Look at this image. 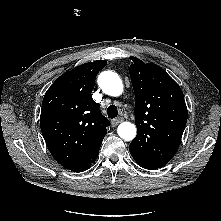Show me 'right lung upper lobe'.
I'll return each mask as SVG.
<instances>
[{
	"label": "right lung upper lobe",
	"instance_id": "obj_1",
	"mask_svg": "<svg viewBox=\"0 0 221 221\" xmlns=\"http://www.w3.org/2000/svg\"><path fill=\"white\" fill-rule=\"evenodd\" d=\"M107 61L82 64L60 76L42 102L40 127L50 153L70 169L95 151L109 121L91 97L97 73Z\"/></svg>",
	"mask_w": 221,
	"mask_h": 221
}]
</instances>
